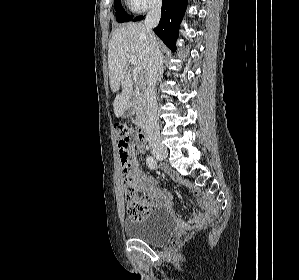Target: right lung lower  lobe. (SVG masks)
<instances>
[{
  "instance_id": "1",
  "label": "right lung lower lobe",
  "mask_w": 299,
  "mask_h": 280,
  "mask_svg": "<svg viewBox=\"0 0 299 280\" xmlns=\"http://www.w3.org/2000/svg\"><path fill=\"white\" fill-rule=\"evenodd\" d=\"M187 0H163L161 19L154 32L172 50L176 51V39L179 33V24L184 16ZM143 16L132 18L130 21H139Z\"/></svg>"
}]
</instances>
